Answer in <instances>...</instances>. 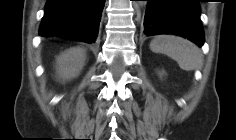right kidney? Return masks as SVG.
Wrapping results in <instances>:
<instances>
[{"mask_svg":"<svg viewBox=\"0 0 236 140\" xmlns=\"http://www.w3.org/2000/svg\"><path fill=\"white\" fill-rule=\"evenodd\" d=\"M86 60V50L72 47L56 58L57 75L63 81L77 77L83 69Z\"/></svg>","mask_w":236,"mask_h":140,"instance_id":"right-kidney-1","label":"right kidney"}]
</instances>
